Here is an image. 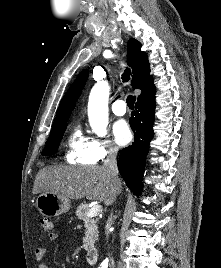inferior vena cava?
I'll return each mask as SVG.
<instances>
[{
    "label": "inferior vena cava",
    "instance_id": "602c4592",
    "mask_svg": "<svg viewBox=\"0 0 221 268\" xmlns=\"http://www.w3.org/2000/svg\"><path fill=\"white\" fill-rule=\"evenodd\" d=\"M117 152H118V149H116V148L110 149L108 151V156L105 159L104 164H103L104 169L109 174V176L112 178L115 185L119 181L118 167H117V160H116ZM109 220L112 221V214L110 215ZM106 237H107V239L109 237V230L108 229L106 231ZM109 265H110V268H114L115 264H114L113 259L110 260Z\"/></svg>",
    "mask_w": 221,
    "mask_h": 268
}]
</instances>
